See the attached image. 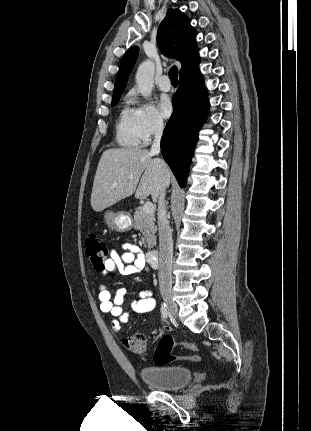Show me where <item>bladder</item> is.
<instances>
[{"instance_id": "31cf9c89", "label": "bladder", "mask_w": 311, "mask_h": 431, "mask_svg": "<svg viewBox=\"0 0 311 431\" xmlns=\"http://www.w3.org/2000/svg\"><path fill=\"white\" fill-rule=\"evenodd\" d=\"M140 378L149 386L160 390H175L188 384L192 378L189 368L182 365L145 366Z\"/></svg>"}]
</instances>
